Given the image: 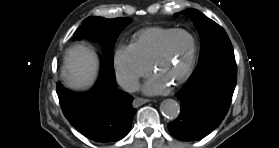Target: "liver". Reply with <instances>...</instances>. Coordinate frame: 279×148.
I'll use <instances>...</instances> for the list:
<instances>
[{
	"mask_svg": "<svg viewBox=\"0 0 279 148\" xmlns=\"http://www.w3.org/2000/svg\"><path fill=\"white\" fill-rule=\"evenodd\" d=\"M99 61L96 53L88 47L77 45L66 52L62 75L72 88H84L93 84Z\"/></svg>",
	"mask_w": 279,
	"mask_h": 148,
	"instance_id": "1",
	"label": "liver"
}]
</instances>
